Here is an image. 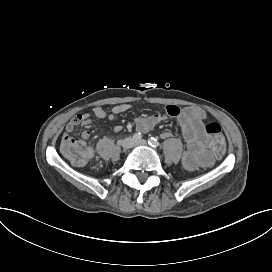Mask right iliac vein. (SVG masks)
<instances>
[{
	"label": "right iliac vein",
	"mask_w": 272,
	"mask_h": 272,
	"mask_svg": "<svg viewBox=\"0 0 272 272\" xmlns=\"http://www.w3.org/2000/svg\"><path fill=\"white\" fill-rule=\"evenodd\" d=\"M133 140L131 138H125L122 143H121V146L124 148V149H130L132 146H133Z\"/></svg>",
	"instance_id": "63e3f726"
}]
</instances>
